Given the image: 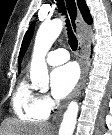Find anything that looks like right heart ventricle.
<instances>
[{"label":"right heart ventricle","mask_w":112,"mask_h":135,"mask_svg":"<svg viewBox=\"0 0 112 135\" xmlns=\"http://www.w3.org/2000/svg\"><path fill=\"white\" fill-rule=\"evenodd\" d=\"M12 108L16 116L26 122H42L48 117L39 94L26 81L20 82L13 93Z\"/></svg>","instance_id":"1"}]
</instances>
